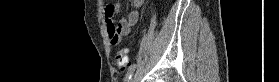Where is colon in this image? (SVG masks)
<instances>
[{"instance_id":"obj_1","label":"colon","mask_w":279,"mask_h":82,"mask_svg":"<svg viewBox=\"0 0 279 82\" xmlns=\"http://www.w3.org/2000/svg\"><path fill=\"white\" fill-rule=\"evenodd\" d=\"M129 49L128 48H120L115 55L114 63L120 70H125L129 63Z\"/></svg>"}]
</instances>
